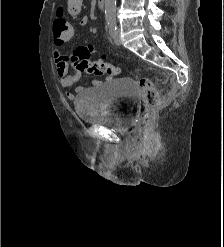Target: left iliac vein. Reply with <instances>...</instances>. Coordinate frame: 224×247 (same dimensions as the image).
Returning a JSON list of instances; mask_svg holds the SVG:
<instances>
[{
    "label": "left iliac vein",
    "mask_w": 224,
    "mask_h": 247,
    "mask_svg": "<svg viewBox=\"0 0 224 247\" xmlns=\"http://www.w3.org/2000/svg\"><path fill=\"white\" fill-rule=\"evenodd\" d=\"M113 40L117 45L121 44V37L119 29H116L115 33L113 34Z\"/></svg>",
    "instance_id": "obj_1"
}]
</instances>
